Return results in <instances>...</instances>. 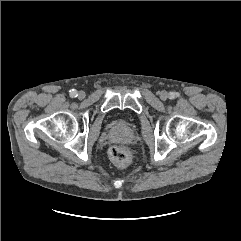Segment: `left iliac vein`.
Instances as JSON below:
<instances>
[{
  "mask_svg": "<svg viewBox=\"0 0 241 241\" xmlns=\"http://www.w3.org/2000/svg\"><path fill=\"white\" fill-rule=\"evenodd\" d=\"M160 98H161V100H163V101L167 100V98H168V93H167L166 91H162V92L160 93Z\"/></svg>",
  "mask_w": 241,
  "mask_h": 241,
  "instance_id": "1",
  "label": "left iliac vein"
}]
</instances>
